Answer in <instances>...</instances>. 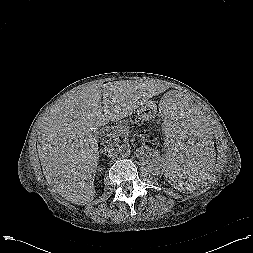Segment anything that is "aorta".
Here are the masks:
<instances>
[{
    "label": "aorta",
    "mask_w": 253,
    "mask_h": 253,
    "mask_svg": "<svg viewBox=\"0 0 253 253\" xmlns=\"http://www.w3.org/2000/svg\"><path fill=\"white\" fill-rule=\"evenodd\" d=\"M118 152L121 156L127 157L131 153V146L128 143H123L119 146Z\"/></svg>",
    "instance_id": "1"
}]
</instances>
